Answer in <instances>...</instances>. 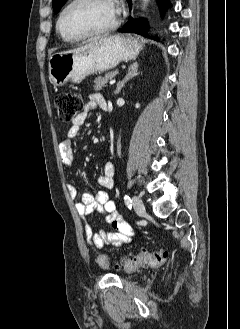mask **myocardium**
<instances>
[{
    "instance_id": "obj_1",
    "label": "myocardium",
    "mask_w": 240,
    "mask_h": 329,
    "mask_svg": "<svg viewBox=\"0 0 240 329\" xmlns=\"http://www.w3.org/2000/svg\"><path fill=\"white\" fill-rule=\"evenodd\" d=\"M84 1L85 0H71L61 10V12L59 14V17H58V20H57V31L65 41L75 42V41H80V40L87 39V38H90V37L103 35V34H106V33H109L111 31L115 30L120 24V19L117 16L113 23H111L110 25H108L104 28L97 29V30H94V31H90V32L84 33V34L79 35V36H69V35H67L64 32L63 28H62V22H63L64 16L73 6H75L76 4H79L81 2H84ZM109 2H111L113 4V0H109Z\"/></svg>"
}]
</instances>
